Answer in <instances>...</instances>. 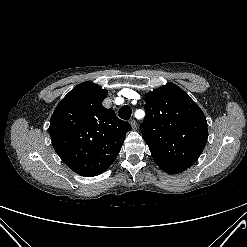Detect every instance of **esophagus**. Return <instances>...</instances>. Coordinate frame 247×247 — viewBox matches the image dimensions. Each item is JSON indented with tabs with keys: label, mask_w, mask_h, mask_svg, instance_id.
I'll list each match as a JSON object with an SVG mask.
<instances>
[{
	"label": "esophagus",
	"mask_w": 247,
	"mask_h": 247,
	"mask_svg": "<svg viewBox=\"0 0 247 247\" xmlns=\"http://www.w3.org/2000/svg\"><path fill=\"white\" fill-rule=\"evenodd\" d=\"M129 122H130L131 127H132L133 129H135L136 126H137L136 121H135L134 119H131Z\"/></svg>",
	"instance_id": "1"
}]
</instances>
